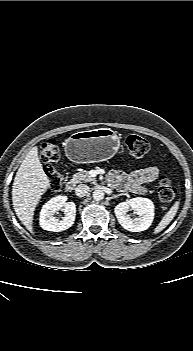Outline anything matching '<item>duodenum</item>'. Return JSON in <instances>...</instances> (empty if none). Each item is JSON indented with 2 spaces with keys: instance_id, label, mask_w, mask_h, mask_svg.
Instances as JSON below:
<instances>
[{
  "instance_id": "obj_1",
  "label": "duodenum",
  "mask_w": 193,
  "mask_h": 351,
  "mask_svg": "<svg viewBox=\"0 0 193 351\" xmlns=\"http://www.w3.org/2000/svg\"><path fill=\"white\" fill-rule=\"evenodd\" d=\"M65 190L68 192V193H71L73 190H74V184L72 182H68L66 185H65Z\"/></svg>"
}]
</instances>
